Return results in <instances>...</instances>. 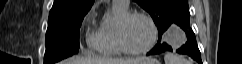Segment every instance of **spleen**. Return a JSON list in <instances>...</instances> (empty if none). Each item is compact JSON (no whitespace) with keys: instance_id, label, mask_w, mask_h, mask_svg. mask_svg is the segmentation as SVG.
<instances>
[{"instance_id":"spleen-1","label":"spleen","mask_w":242,"mask_h":64,"mask_svg":"<svg viewBox=\"0 0 242 64\" xmlns=\"http://www.w3.org/2000/svg\"><path fill=\"white\" fill-rule=\"evenodd\" d=\"M164 59L165 64H190L189 61H187L183 57L173 54H166Z\"/></svg>"}]
</instances>
